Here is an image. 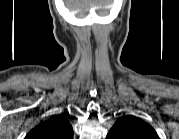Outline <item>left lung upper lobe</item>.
<instances>
[{
    "label": "left lung upper lobe",
    "instance_id": "left-lung-upper-lobe-1",
    "mask_svg": "<svg viewBox=\"0 0 179 139\" xmlns=\"http://www.w3.org/2000/svg\"><path fill=\"white\" fill-rule=\"evenodd\" d=\"M108 139H158L155 130L134 116H123L110 129Z\"/></svg>",
    "mask_w": 179,
    "mask_h": 139
}]
</instances>
